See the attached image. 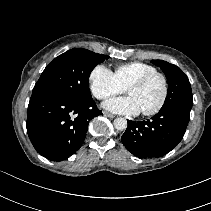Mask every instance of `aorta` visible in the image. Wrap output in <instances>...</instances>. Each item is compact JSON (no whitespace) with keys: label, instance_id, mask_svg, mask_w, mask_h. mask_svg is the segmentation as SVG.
<instances>
[{"label":"aorta","instance_id":"762f6f07","mask_svg":"<svg viewBox=\"0 0 211 211\" xmlns=\"http://www.w3.org/2000/svg\"><path fill=\"white\" fill-rule=\"evenodd\" d=\"M114 127L117 130H124L127 128V120L125 118H116L114 120Z\"/></svg>","mask_w":211,"mask_h":211}]
</instances>
